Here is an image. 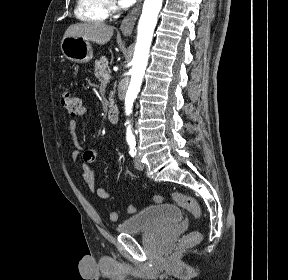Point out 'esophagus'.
Masks as SVG:
<instances>
[{"mask_svg":"<svg viewBox=\"0 0 288 280\" xmlns=\"http://www.w3.org/2000/svg\"><path fill=\"white\" fill-rule=\"evenodd\" d=\"M142 0H139L138 4L128 13V15L122 20L120 30L124 36H131L134 25L140 13Z\"/></svg>","mask_w":288,"mask_h":280,"instance_id":"esophagus-1","label":"esophagus"}]
</instances>
